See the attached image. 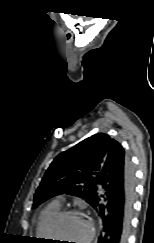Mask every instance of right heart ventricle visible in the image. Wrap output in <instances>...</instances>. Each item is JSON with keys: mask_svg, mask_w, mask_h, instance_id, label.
<instances>
[{"mask_svg": "<svg viewBox=\"0 0 154 243\" xmlns=\"http://www.w3.org/2000/svg\"><path fill=\"white\" fill-rule=\"evenodd\" d=\"M61 210L59 202H52L47 205L39 215L36 234L42 239H51L49 235V224L52 218Z\"/></svg>", "mask_w": 154, "mask_h": 243, "instance_id": "e07e8e85", "label": "right heart ventricle"}]
</instances>
